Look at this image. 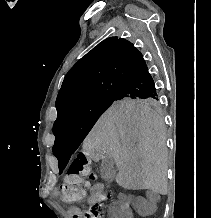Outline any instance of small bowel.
<instances>
[{
	"mask_svg": "<svg viewBox=\"0 0 211 218\" xmlns=\"http://www.w3.org/2000/svg\"><path fill=\"white\" fill-rule=\"evenodd\" d=\"M103 188H104V185L101 182L95 181L91 184L90 194L88 198V202L90 204L103 202L104 200ZM52 195L54 197H58L59 191L57 189H53ZM70 213L72 214L74 218L82 217V211L78 207H72L70 209ZM112 216L114 218H134L135 212L128 205H119V206H114L112 208Z\"/></svg>",
	"mask_w": 211,
	"mask_h": 218,
	"instance_id": "c3829d8e",
	"label": "small bowel"
}]
</instances>
